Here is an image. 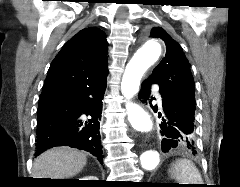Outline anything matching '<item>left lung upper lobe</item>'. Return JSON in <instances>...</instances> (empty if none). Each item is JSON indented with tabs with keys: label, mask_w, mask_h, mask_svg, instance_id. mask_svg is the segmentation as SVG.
I'll return each mask as SVG.
<instances>
[{
	"label": "left lung upper lobe",
	"mask_w": 240,
	"mask_h": 187,
	"mask_svg": "<svg viewBox=\"0 0 240 187\" xmlns=\"http://www.w3.org/2000/svg\"><path fill=\"white\" fill-rule=\"evenodd\" d=\"M151 37L165 42L166 54L149 78L158 84L160 89L196 104L190 64L180 45L161 27L152 28Z\"/></svg>",
	"instance_id": "left-lung-upper-lobe-1"
}]
</instances>
